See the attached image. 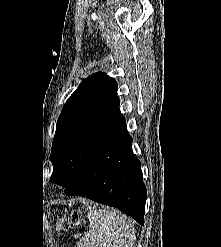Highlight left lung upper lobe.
<instances>
[{
  "instance_id": "5c2ea615",
  "label": "left lung upper lobe",
  "mask_w": 221,
  "mask_h": 247,
  "mask_svg": "<svg viewBox=\"0 0 221 247\" xmlns=\"http://www.w3.org/2000/svg\"><path fill=\"white\" fill-rule=\"evenodd\" d=\"M119 104L114 78L98 72L81 82L57 121L51 182L67 187L75 180L104 131L124 119Z\"/></svg>"
}]
</instances>
